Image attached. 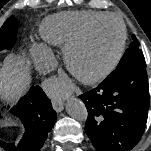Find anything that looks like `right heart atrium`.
Here are the masks:
<instances>
[{
    "instance_id": "obj_1",
    "label": "right heart atrium",
    "mask_w": 151,
    "mask_h": 151,
    "mask_svg": "<svg viewBox=\"0 0 151 151\" xmlns=\"http://www.w3.org/2000/svg\"><path fill=\"white\" fill-rule=\"evenodd\" d=\"M50 56L51 52L45 45L39 44L33 48L34 60L40 67H42L48 61Z\"/></svg>"
}]
</instances>
